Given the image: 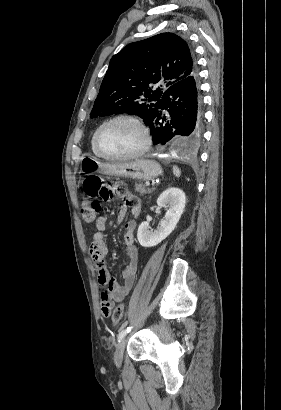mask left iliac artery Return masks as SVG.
Here are the masks:
<instances>
[{
    "instance_id": "obj_1",
    "label": "left iliac artery",
    "mask_w": 281,
    "mask_h": 410,
    "mask_svg": "<svg viewBox=\"0 0 281 410\" xmlns=\"http://www.w3.org/2000/svg\"><path fill=\"white\" fill-rule=\"evenodd\" d=\"M131 330V327H127L126 329H123L119 332L118 334V341L120 342V340L127 334L129 333Z\"/></svg>"
}]
</instances>
